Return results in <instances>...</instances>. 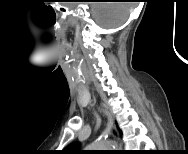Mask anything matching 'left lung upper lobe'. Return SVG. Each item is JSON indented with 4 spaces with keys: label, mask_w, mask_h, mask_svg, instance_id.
<instances>
[{
    "label": "left lung upper lobe",
    "mask_w": 188,
    "mask_h": 154,
    "mask_svg": "<svg viewBox=\"0 0 188 154\" xmlns=\"http://www.w3.org/2000/svg\"><path fill=\"white\" fill-rule=\"evenodd\" d=\"M119 131L121 133L120 129H119ZM79 148H80L79 143L75 142V143L68 145L64 150L67 151V153H69V154H81V153H83V151H81Z\"/></svg>",
    "instance_id": "obj_1"
}]
</instances>
